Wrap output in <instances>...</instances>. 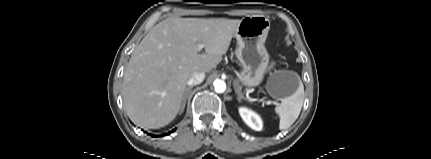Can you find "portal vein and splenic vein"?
I'll return each mask as SVG.
<instances>
[{
	"label": "portal vein and splenic vein",
	"mask_w": 431,
	"mask_h": 159,
	"mask_svg": "<svg viewBox=\"0 0 431 159\" xmlns=\"http://www.w3.org/2000/svg\"><path fill=\"white\" fill-rule=\"evenodd\" d=\"M202 48H204V45L203 44H199L198 45V49L201 50Z\"/></svg>",
	"instance_id": "portal-vein-and-splenic-vein-1"
}]
</instances>
